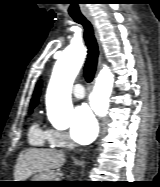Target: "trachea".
Masks as SVG:
<instances>
[{
  "instance_id": "1",
  "label": "trachea",
  "mask_w": 160,
  "mask_h": 187,
  "mask_svg": "<svg viewBox=\"0 0 160 187\" xmlns=\"http://www.w3.org/2000/svg\"><path fill=\"white\" fill-rule=\"evenodd\" d=\"M73 20L81 24L84 28V40L87 46V58L84 66L85 80L90 83L95 75L99 50L94 36V31L91 23L85 17H74Z\"/></svg>"
}]
</instances>
